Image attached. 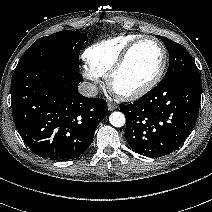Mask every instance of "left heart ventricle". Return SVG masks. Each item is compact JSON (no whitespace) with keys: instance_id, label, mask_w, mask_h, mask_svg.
Returning a JSON list of instances; mask_svg holds the SVG:
<instances>
[{"instance_id":"1","label":"left heart ventricle","mask_w":212,"mask_h":212,"mask_svg":"<svg viewBox=\"0 0 212 212\" xmlns=\"http://www.w3.org/2000/svg\"><path fill=\"white\" fill-rule=\"evenodd\" d=\"M161 62L162 51L157 44L153 42L139 44L115 77V88L120 92H130L141 87L154 77Z\"/></svg>"}]
</instances>
